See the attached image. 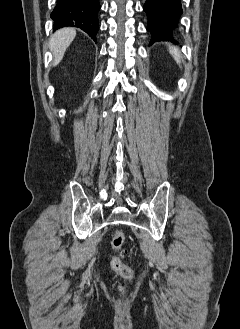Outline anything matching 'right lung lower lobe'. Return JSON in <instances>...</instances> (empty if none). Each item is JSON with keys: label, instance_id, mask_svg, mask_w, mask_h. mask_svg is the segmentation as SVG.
<instances>
[{"label": "right lung lower lobe", "instance_id": "obj_1", "mask_svg": "<svg viewBox=\"0 0 240 329\" xmlns=\"http://www.w3.org/2000/svg\"><path fill=\"white\" fill-rule=\"evenodd\" d=\"M99 9V0H57L51 13L54 31L63 27H77L96 42Z\"/></svg>", "mask_w": 240, "mask_h": 329}]
</instances>
